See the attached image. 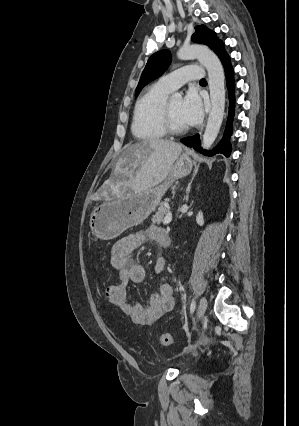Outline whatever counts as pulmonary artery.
I'll list each match as a JSON object with an SVG mask.
<instances>
[{"mask_svg": "<svg viewBox=\"0 0 299 426\" xmlns=\"http://www.w3.org/2000/svg\"><path fill=\"white\" fill-rule=\"evenodd\" d=\"M202 76L203 70L201 67L187 65L162 76L158 82L168 90L173 91L189 81L200 80Z\"/></svg>", "mask_w": 299, "mask_h": 426, "instance_id": "pulmonary-artery-1", "label": "pulmonary artery"}]
</instances>
